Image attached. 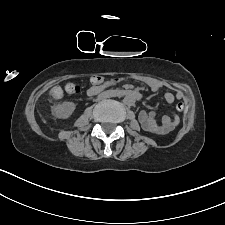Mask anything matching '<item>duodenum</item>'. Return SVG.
<instances>
[{
  "label": "duodenum",
  "instance_id": "duodenum-1",
  "mask_svg": "<svg viewBox=\"0 0 225 225\" xmlns=\"http://www.w3.org/2000/svg\"><path fill=\"white\" fill-rule=\"evenodd\" d=\"M99 98H109L115 96H125L128 100H139L141 95L135 91L110 90L97 94Z\"/></svg>",
  "mask_w": 225,
  "mask_h": 225
}]
</instances>
